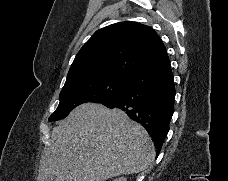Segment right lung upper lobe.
Wrapping results in <instances>:
<instances>
[{"mask_svg": "<svg viewBox=\"0 0 228 181\" xmlns=\"http://www.w3.org/2000/svg\"><path fill=\"white\" fill-rule=\"evenodd\" d=\"M168 58L165 47L149 26L116 23L97 30L76 55L66 83L98 74L132 78Z\"/></svg>", "mask_w": 228, "mask_h": 181, "instance_id": "1", "label": "right lung upper lobe"}]
</instances>
